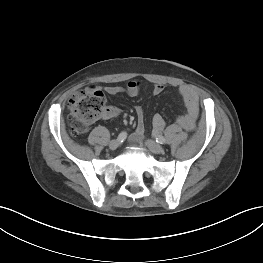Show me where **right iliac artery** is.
I'll return each instance as SVG.
<instances>
[{
  "instance_id": "obj_1",
  "label": "right iliac artery",
  "mask_w": 263,
  "mask_h": 263,
  "mask_svg": "<svg viewBox=\"0 0 263 263\" xmlns=\"http://www.w3.org/2000/svg\"><path fill=\"white\" fill-rule=\"evenodd\" d=\"M127 137V133L126 132H121L119 135H118V140L119 142H123Z\"/></svg>"
}]
</instances>
